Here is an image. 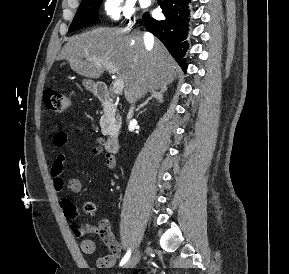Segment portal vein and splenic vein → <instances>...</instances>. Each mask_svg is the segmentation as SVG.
Returning <instances> with one entry per match:
<instances>
[{
  "mask_svg": "<svg viewBox=\"0 0 289 274\" xmlns=\"http://www.w3.org/2000/svg\"><path fill=\"white\" fill-rule=\"evenodd\" d=\"M106 69L110 74H115L118 71L117 67L111 63L106 65ZM123 88H124V80L121 78H116L115 81L113 82V91L116 94H119L122 92Z\"/></svg>",
  "mask_w": 289,
  "mask_h": 274,
  "instance_id": "18ae733b",
  "label": "portal vein and splenic vein"
}]
</instances>
